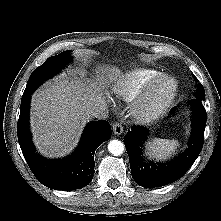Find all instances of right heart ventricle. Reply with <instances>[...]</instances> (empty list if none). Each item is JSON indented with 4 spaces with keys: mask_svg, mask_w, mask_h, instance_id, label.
I'll return each instance as SVG.
<instances>
[{
    "mask_svg": "<svg viewBox=\"0 0 221 221\" xmlns=\"http://www.w3.org/2000/svg\"><path fill=\"white\" fill-rule=\"evenodd\" d=\"M162 74L160 71L150 68H137L124 74L116 81L112 88L113 94L125 102L133 101L144 86Z\"/></svg>",
    "mask_w": 221,
    "mask_h": 221,
    "instance_id": "e07e8e85",
    "label": "right heart ventricle"
}]
</instances>
